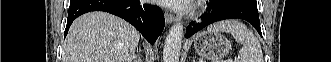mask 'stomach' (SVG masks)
Returning a JSON list of instances; mask_svg holds the SVG:
<instances>
[{"instance_id": "1", "label": "stomach", "mask_w": 331, "mask_h": 62, "mask_svg": "<svg viewBox=\"0 0 331 62\" xmlns=\"http://www.w3.org/2000/svg\"><path fill=\"white\" fill-rule=\"evenodd\" d=\"M194 51L213 62L224 58L230 51L228 39L218 32L201 31L192 39Z\"/></svg>"}]
</instances>
